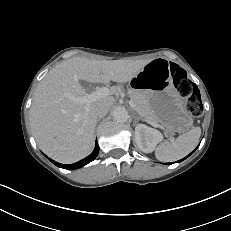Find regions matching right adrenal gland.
Here are the masks:
<instances>
[{
    "mask_svg": "<svg viewBox=\"0 0 231 231\" xmlns=\"http://www.w3.org/2000/svg\"><path fill=\"white\" fill-rule=\"evenodd\" d=\"M100 121V118L97 120V123Z\"/></svg>",
    "mask_w": 231,
    "mask_h": 231,
    "instance_id": "2a0ac1e0",
    "label": "right adrenal gland"
}]
</instances>
